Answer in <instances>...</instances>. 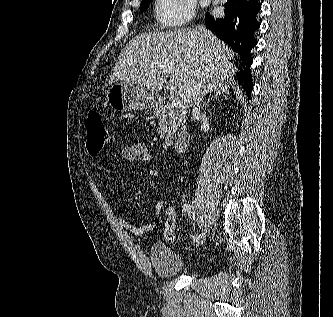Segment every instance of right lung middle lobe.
<instances>
[{"instance_id":"dd1d6c3e","label":"right lung middle lobe","mask_w":333,"mask_h":317,"mask_svg":"<svg viewBox=\"0 0 333 317\" xmlns=\"http://www.w3.org/2000/svg\"><path fill=\"white\" fill-rule=\"evenodd\" d=\"M150 2H151V0L142 1L141 4H140V10L141 11H146L147 8L149 7Z\"/></svg>"}]
</instances>
